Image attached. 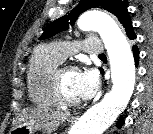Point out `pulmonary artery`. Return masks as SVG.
I'll return each mask as SVG.
<instances>
[{"mask_svg":"<svg viewBox=\"0 0 153 134\" xmlns=\"http://www.w3.org/2000/svg\"><path fill=\"white\" fill-rule=\"evenodd\" d=\"M49 46L62 61L79 49L93 55L103 54L104 52L102 42L96 37H89L82 42H53Z\"/></svg>","mask_w":153,"mask_h":134,"instance_id":"e3ab8cb5","label":"pulmonary artery"}]
</instances>
